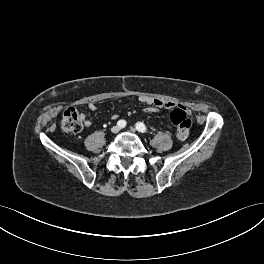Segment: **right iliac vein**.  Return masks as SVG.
Here are the masks:
<instances>
[{
  "label": "right iliac vein",
  "mask_w": 264,
  "mask_h": 264,
  "mask_svg": "<svg viewBox=\"0 0 264 264\" xmlns=\"http://www.w3.org/2000/svg\"><path fill=\"white\" fill-rule=\"evenodd\" d=\"M119 131H120V128L118 126H113L111 128V132L114 133V134L118 133Z\"/></svg>",
  "instance_id": "63e3f726"
}]
</instances>
